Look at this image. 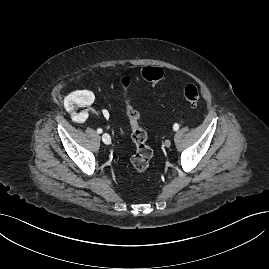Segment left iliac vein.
Masks as SVG:
<instances>
[{
    "label": "left iliac vein",
    "mask_w": 269,
    "mask_h": 269,
    "mask_svg": "<svg viewBox=\"0 0 269 269\" xmlns=\"http://www.w3.org/2000/svg\"><path fill=\"white\" fill-rule=\"evenodd\" d=\"M170 145H171V141H170V140H166V141L164 142V146H165V147H170Z\"/></svg>",
    "instance_id": "obj_1"
}]
</instances>
